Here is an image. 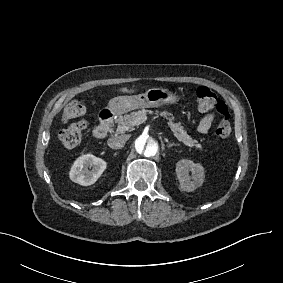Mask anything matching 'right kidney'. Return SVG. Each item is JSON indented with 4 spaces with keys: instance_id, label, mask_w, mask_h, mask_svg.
I'll list each match as a JSON object with an SVG mask.
<instances>
[{
    "instance_id": "ca27d5eb",
    "label": "right kidney",
    "mask_w": 283,
    "mask_h": 283,
    "mask_svg": "<svg viewBox=\"0 0 283 283\" xmlns=\"http://www.w3.org/2000/svg\"><path fill=\"white\" fill-rule=\"evenodd\" d=\"M106 162L92 154L78 157L69 172L70 179L83 186L94 184L106 169ZM92 167V170L88 168Z\"/></svg>"
}]
</instances>
